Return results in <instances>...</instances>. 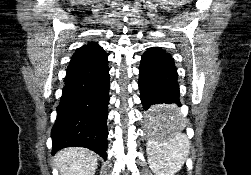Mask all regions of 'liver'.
<instances>
[{
	"instance_id": "liver-1",
	"label": "liver",
	"mask_w": 251,
	"mask_h": 175,
	"mask_svg": "<svg viewBox=\"0 0 251 175\" xmlns=\"http://www.w3.org/2000/svg\"><path fill=\"white\" fill-rule=\"evenodd\" d=\"M54 161L61 175H94L98 165L97 155L85 147H65L57 151Z\"/></svg>"
}]
</instances>
